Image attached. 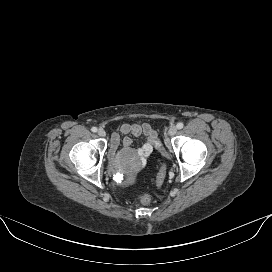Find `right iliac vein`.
<instances>
[{
  "label": "right iliac vein",
  "mask_w": 272,
  "mask_h": 272,
  "mask_svg": "<svg viewBox=\"0 0 272 272\" xmlns=\"http://www.w3.org/2000/svg\"><path fill=\"white\" fill-rule=\"evenodd\" d=\"M98 135H99L100 137H105V136H106V132H105L103 129H99V130H98Z\"/></svg>",
  "instance_id": "right-iliac-vein-1"
}]
</instances>
